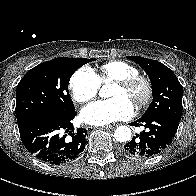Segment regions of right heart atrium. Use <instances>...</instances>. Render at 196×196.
Wrapping results in <instances>:
<instances>
[{
  "label": "right heart atrium",
  "instance_id": "1",
  "mask_svg": "<svg viewBox=\"0 0 196 196\" xmlns=\"http://www.w3.org/2000/svg\"><path fill=\"white\" fill-rule=\"evenodd\" d=\"M99 87L97 75L88 67L79 68L69 81L72 98L78 103L92 100L97 95Z\"/></svg>",
  "mask_w": 196,
  "mask_h": 196
}]
</instances>
